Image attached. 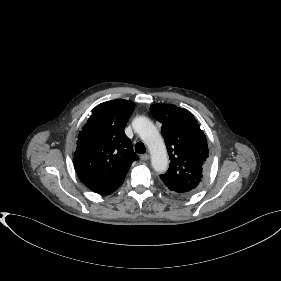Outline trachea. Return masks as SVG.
<instances>
[{"mask_svg": "<svg viewBox=\"0 0 281 281\" xmlns=\"http://www.w3.org/2000/svg\"><path fill=\"white\" fill-rule=\"evenodd\" d=\"M135 152L138 154H143L146 152L145 145L142 142H138L135 146Z\"/></svg>", "mask_w": 281, "mask_h": 281, "instance_id": "trachea-1", "label": "trachea"}]
</instances>
